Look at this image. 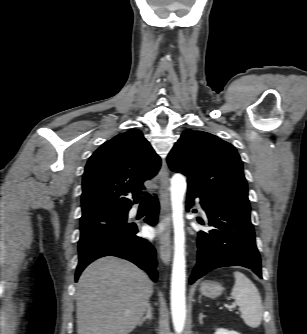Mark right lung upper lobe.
<instances>
[{"mask_svg":"<svg viewBox=\"0 0 307 334\" xmlns=\"http://www.w3.org/2000/svg\"><path fill=\"white\" fill-rule=\"evenodd\" d=\"M160 157L138 129L120 133L89 158L83 174L82 216L99 212H128L139 201L143 182L153 178ZM133 191L134 201L125 198Z\"/></svg>","mask_w":307,"mask_h":334,"instance_id":"right-lung-upper-lobe-1","label":"right lung upper lobe"}]
</instances>
